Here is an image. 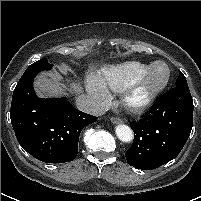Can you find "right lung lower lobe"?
I'll list each match as a JSON object with an SVG mask.
<instances>
[{
    "label": "right lung lower lobe",
    "mask_w": 201,
    "mask_h": 201,
    "mask_svg": "<svg viewBox=\"0 0 201 201\" xmlns=\"http://www.w3.org/2000/svg\"><path fill=\"white\" fill-rule=\"evenodd\" d=\"M51 64L29 66L18 81L12 96L10 118L22 148L46 163L74 160L82 129L97 117L74 108L66 98L41 99L33 90L38 72Z\"/></svg>",
    "instance_id": "right-lung-lower-lobe-1"
}]
</instances>
